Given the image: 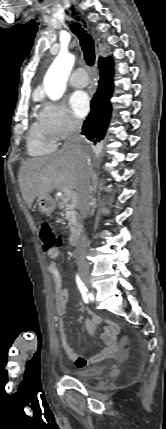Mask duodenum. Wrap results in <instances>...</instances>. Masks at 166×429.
Here are the masks:
<instances>
[{"label":"duodenum","mask_w":166,"mask_h":429,"mask_svg":"<svg viewBox=\"0 0 166 429\" xmlns=\"http://www.w3.org/2000/svg\"><path fill=\"white\" fill-rule=\"evenodd\" d=\"M82 231H83V226L81 224L77 225L74 231L70 235V239H69L70 245L75 246L79 242Z\"/></svg>","instance_id":"obj_1"}]
</instances>
